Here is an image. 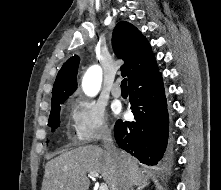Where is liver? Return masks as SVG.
Masks as SVG:
<instances>
[{
	"instance_id": "obj_1",
	"label": "liver",
	"mask_w": 221,
	"mask_h": 190,
	"mask_svg": "<svg viewBox=\"0 0 221 190\" xmlns=\"http://www.w3.org/2000/svg\"><path fill=\"white\" fill-rule=\"evenodd\" d=\"M120 152L132 186L146 184L148 178L139 168L137 160L124 151ZM122 169L110 153L101 147H79L47 162L41 190H88L90 181L87 173L91 171L102 175L109 190H117Z\"/></svg>"
}]
</instances>
